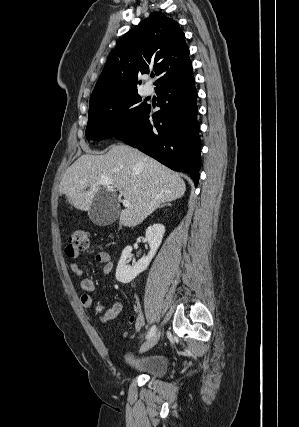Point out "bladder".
<instances>
[{
  "instance_id": "bladder-1",
  "label": "bladder",
  "mask_w": 299,
  "mask_h": 427,
  "mask_svg": "<svg viewBox=\"0 0 299 427\" xmlns=\"http://www.w3.org/2000/svg\"><path fill=\"white\" fill-rule=\"evenodd\" d=\"M167 360L163 356H151L131 362V369L153 378H161L167 371Z\"/></svg>"
}]
</instances>
